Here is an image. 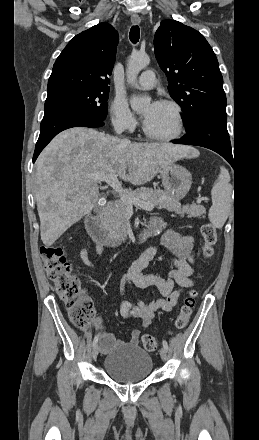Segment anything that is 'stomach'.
<instances>
[{"mask_svg": "<svg viewBox=\"0 0 259 440\" xmlns=\"http://www.w3.org/2000/svg\"><path fill=\"white\" fill-rule=\"evenodd\" d=\"M162 185L165 192L181 200L185 197L192 185V175L184 167L171 163L160 170Z\"/></svg>", "mask_w": 259, "mask_h": 440, "instance_id": "1", "label": "stomach"}]
</instances>
